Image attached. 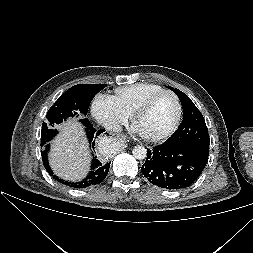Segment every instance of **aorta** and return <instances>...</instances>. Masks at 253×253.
<instances>
[{
    "mask_svg": "<svg viewBox=\"0 0 253 253\" xmlns=\"http://www.w3.org/2000/svg\"><path fill=\"white\" fill-rule=\"evenodd\" d=\"M132 153H133V156L136 159H138V160H143V159H145L147 157V150H146V148L143 147V146H140V145L135 146L133 148Z\"/></svg>",
    "mask_w": 253,
    "mask_h": 253,
    "instance_id": "762f6f07",
    "label": "aorta"
}]
</instances>
